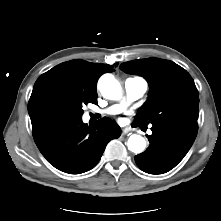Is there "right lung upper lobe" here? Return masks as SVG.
<instances>
[{
  "instance_id": "cb5924a9",
  "label": "right lung upper lobe",
  "mask_w": 221,
  "mask_h": 221,
  "mask_svg": "<svg viewBox=\"0 0 221 221\" xmlns=\"http://www.w3.org/2000/svg\"><path fill=\"white\" fill-rule=\"evenodd\" d=\"M117 65L118 63L115 64ZM112 71V65L75 59L61 63L42 74L34 84L28 103L32 128L37 129L58 118L59 106L72 96H97L96 85L99 77Z\"/></svg>"
}]
</instances>
